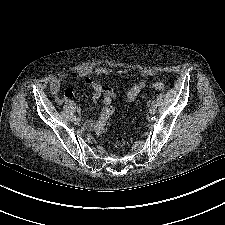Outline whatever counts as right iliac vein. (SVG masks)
I'll use <instances>...</instances> for the list:
<instances>
[{
  "instance_id": "obj_1",
  "label": "right iliac vein",
  "mask_w": 225,
  "mask_h": 225,
  "mask_svg": "<svg viewBox=\"0 0 225 225\" xmlns=\"http://www.w3.org/2000/svg\"><path fill=\"white\" fill-rule=\"evenodd\" d=\"M74 123H75L76 125H80V124H81L80 118L74 119Z\"/></svg>"
}]
</instances>
